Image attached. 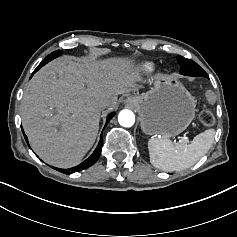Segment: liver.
<instances>
[{
  "label": "liver",
  "mask_w": 237,
  "mask_h": 237,
  "mask_svg": "<svg viewBox=\"0 0 237 237\" xmlns=\"http://www.w3.org/2000/svg\"><path fill=\"white\" fill-rule=\"evenodd\" d=\"M129 58L101 61L58 58L28 83L21 101L24 131L34 152L59 168L78 165L93 146L102 99L117 106V96L135 87Z\"/></svg>",
  "instance_id": "1"
}]
</instances>
